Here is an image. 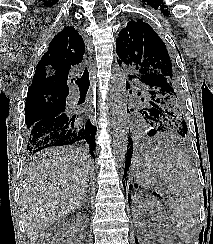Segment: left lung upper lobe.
<instances>
[{"mask_svg":"<svg viewBox=\"0 0 213 244\" xmlns=\"http://www.w3.org/2000/svg\"><path fill=\"white\" fill-rule=\"evenodd\" d=\"M116 52L118 63L125 66L129 79L136 80L140 88L139 100L146 106L143 113L163 123L165 132L185 138L188 129L183 92L177 70L158 34L140 19L130 21L119 32Z\"/></svg>","mask_w":213,"mask_h":244,"instance_id":"5c2ea615","label":"left lung upper lobe"}]
</instances>
